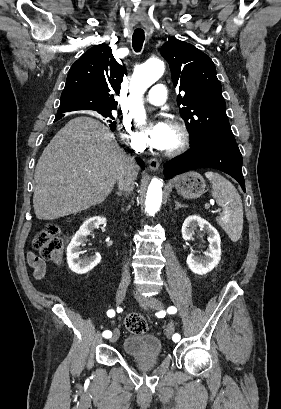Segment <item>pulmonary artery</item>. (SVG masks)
Listing matches in <instances>:
<instances>
[{
	"label": "pulmonary artery",
	"instance_id": "obj_1",
	"mask_svg": "<svg viewBox=\"0 0 281 409\" xmlns=\"http://www.w3.org/2000/svg\"><path fill=\"white\" fill-rule=\"evenodd\" d=\"M165 83L163 81H156L154 86L151 87V94H148L145 103L153 106H162L164 99L167 97V92L164 90Z\"/></svg>",
	"mask_w": 281,
	"mask_h": 409
}]
</instances>
